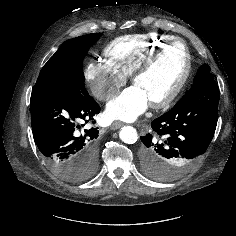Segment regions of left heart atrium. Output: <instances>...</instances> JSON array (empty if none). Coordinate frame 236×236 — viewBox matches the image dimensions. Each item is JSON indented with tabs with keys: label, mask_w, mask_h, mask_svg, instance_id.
I'll return each instance as SVG.
<instances>
[{
	"label": "left heart atrium",
	"mask_w": 236,
	"mask_h": 236,
	"mask_svg": "<svg viewBox=\"0 0 236 236\" xmlns=\"http://www.w3.org/2000/svg\"><path fill=\"white\" fill-rule=\"evenodd\" d=\"M148 104L146 94L133 85L108 102L104 117L107 120L132 121L145 111Z\"/></svg>",
	"instance_id": "39dd6f15"
}]
</instances>
